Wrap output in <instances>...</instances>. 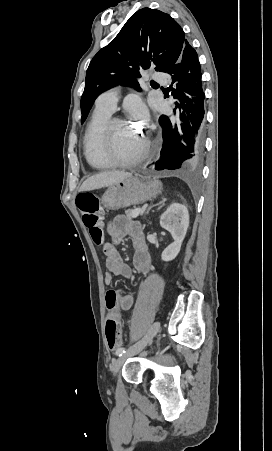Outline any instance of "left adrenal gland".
I'll use <instances>...</instances> for the list:
<instances>
[{"mask_svg":"<svg viewBox=\"0 0 272 451\" xmlns=\"http://www.w3.org/2000/svg\"><path fill=\"white\" fill-rule=\"evenodd\" d=\"M162 202H165V198H163ZM162 202H159V204H162ZM155 206H157V204H155ZM151 208H154V206H150V208H148L146 214H148L149 210H151Z\"/></svg>","mask_w":272,"mask_h":451,"instance_id":"left-adrenal-gland-1","label":"left adrenal gland"}]
</instances>
